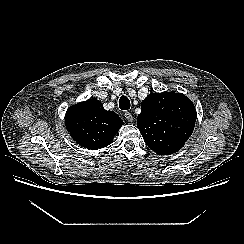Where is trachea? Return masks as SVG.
<instances>
[{
  "instance_id": "trachea-1",
  "label": "trachea",
  "mask_w": 244,
  "mask_h": 244,
  "mask_svg": "<svg viewBox=\"0 0 244 244\" xmlns=\"http://www.w3.org/2000/svg\"><path fill=\"white\" fill-rule=\"evenodd\" d=\"M130 101L127 96H121L119 99V108L121 110H128L130 109Z\"/></svg>"
}]
</instances>
